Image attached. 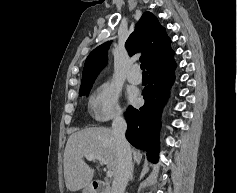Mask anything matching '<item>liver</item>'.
I'll return each instance as SVG.
<instances>
[{
	"label": "liver",
	"instance_id": "liver-1",
	"mask_svg": "<svg viewBox=\"0 0 237 193\" xmlns=\"http://www.w3.org/2000/svg\"><path fill=\"white\" fill-rule=\"evenodd\" d=\"M86 155H100L108 170L115 175L118 153L112 129L107 127H85L70 135L64 151V178L66 187L76 192L90 185L95 170L86 164Z\"/></svg>",
	"mask_w": 237,
	"mask_h": 193
}]
</instances>
